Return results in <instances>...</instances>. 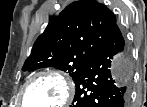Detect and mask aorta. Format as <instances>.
I'll return each mask as SVG.
<instances>
[{
  "mask_svg": "<svg viewBox=\"0 0 147 107\" xmlns=\"http://www.w3.org/2000/svg\"><path fill=\"white\" fill-rule=\"evenodd\" d=\"M111 73L113 80L117 82L129 74L127 58L125 56L119 54L114 58L112 62Z\"/></svg>",
  "mask_w": 147,
  "mask_h": 107,
  "instance_id": "762f6f07",
  "label": "aorta"
}]
</instances>
